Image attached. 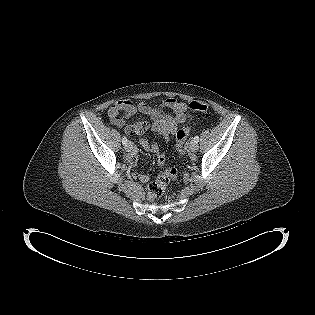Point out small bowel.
I'll use <instances>...</instances> for the list:
<instances>
[{
    "mask_svg": "<svg viewBox=\"0 0 315 315\" xmlns=\"http://www.w3.org/2000/svg\"><path fill=\"white\" fill-rule=\"evenodd\" d=\"M164 109H169L172 113H164ZM186 111V103L171 97L161 99L158 106L151 105L144 101L135 104L128 100H118L108 109V117L112 124L122 128L127 125V119L135 113L148 115L152 118V124L149 125L147 122H139L135 125L128 126V135L131 137L143 135L146 133L147 129L151 127L154 132L161 135L164 139H168L171 134L176 133L178 125L184 122ZM140 144L145 150L157 156L160 165L164 163L165 154L156 144H152L144 138L140 140ZM128 162L131 165H136L138 162L135 147L128 156ZM138 178L142 183H147L150 180L147 174H139Z\"/></svg>",
    "mask_w": 315,
    "mask_h": 315,
    "instance_id": "small-bowel-1",
    "label": "small bowel"
}]
</instances>
